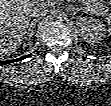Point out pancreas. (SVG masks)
I'll use <instances>...</instances> for the list:
<instances>
[{"label":"pancreas","mask_w":111,"mask_h":106,"mask_svg":"<svg viewBox=\"0 0 111 106\" xmlns=\"http://www.w3.org/2000/svg\"><path fill=\"white\" fill-rule=\"evenodd\" d=\"M82 4L86 12L96 16L107 17L109 22H111V13L107 6L111 4V2H105L103 0H83Z\"/></svg>","instance_id":"cf45deb5"}]
</instances>
